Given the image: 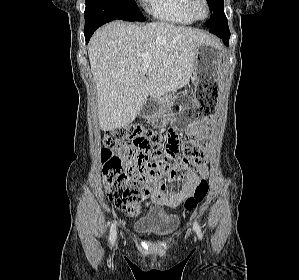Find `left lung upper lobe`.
<instances>
[{"mask_svg": "<svg viewBox=\"0 0 299 280\" xmlns=\"http://www.w3.org/2000/svg\"><path fill=\"white\" fill-rule=\"evenodd\" d=\"M211 18L205 23V26L208 28H214L217 25H220L224 20V0H207Z\"/></svg>", "mask_w": 299, "mask_h": 280, "instance_id": "obj_1", "label": "left lung upper lobe"}]
</instances>
